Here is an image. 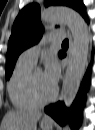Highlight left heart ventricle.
I'll return each instance as SVG.
<instances>
[{
	"label": "left heart ventricle",
	"mask_w": 95,
	"mask_h": 130,
	"mask_svg": "<svg viewBox=\"0 0 95 130\" xmlns=\"http://www.w3.org/2000/svg\"><path fill=\"white\" fill-rule=\"evenodd\" d=\"M34 81L41 98H48L53 94L55 88L46 82L42 71L34 72Z\"/></svg>",
	"instance_id": "1"
}]
</instances>
